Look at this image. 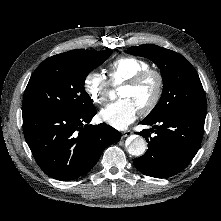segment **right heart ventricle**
<instances>
[{
    "instance_id": "1",
    "label": "right heart ventricle",
    "mask_w": 221,
    "mask_h": 221,
    "mask_svg": "<svg viewBox=\"0 0 221 221\" xmlns=\"http://www.w3.org/2000/svg\"><path fill=\"white\" fill-rule=\"evenodd\" d=\"M149 67V63L143 59L121 56L108 65L107 71L111 84L117 86Z\"/></svg>"
}]
</instances>
